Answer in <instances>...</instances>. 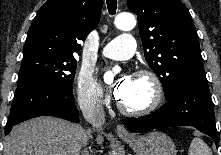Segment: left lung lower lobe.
I'll return each mask as SVG.
<instances>
[{"label":"left lung lower lobe","instance_id":"1","mask_svg":"<svg viewBox=\"0 0 221 155\" xmlns=\"http://www.w3.org/2000/svg\"><path fill=\"white\" fill-rule=\"evenodd\" d=\"M214 109L206 79L192 80L181 85L154 113L140 118L123 119L122 123L133 132L156 128L193 126L209 135L218 147Z\"/></svg>","mask_w":221,"mask_h":155}]
</instances>
